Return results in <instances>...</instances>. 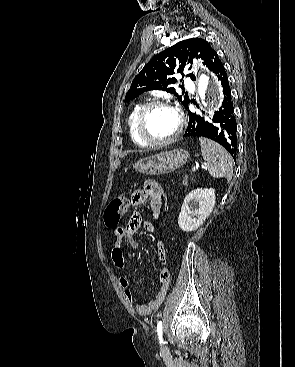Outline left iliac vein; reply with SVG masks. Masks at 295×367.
Returning <instances> with one entry per match:
<instances>
[{
  "mask_svg": "<svg viewBox=\"0 0 295 367\" xmlns=\"http://www.w3.org/2000/svg\"><path fill=\"white\" fill-rule=\"evenodd\" d=\"M161 352L162 353H166L167 352V347H166L165 343H163V342L161 344Z\"/></svg>",
  "mask_w": 295,
  "mask_h": 367,
  "instance_id": "1",
  "label": "left iliac vein"
}]
</instances>
